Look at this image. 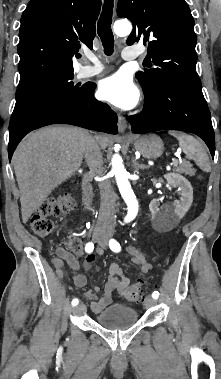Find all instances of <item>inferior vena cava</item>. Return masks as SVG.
<instances>
[{"mask_svg":"<svg viewBox=\"0 0 221 379\" xmlns=\"http://www.w3.org/2000/svg\"><path fill=\"white\" fill-rule=\"evenodd\" d=\"M86 163L93 176L104 173L103 157L100 146L95 138L90 137L85 150ZM101 204L97 221V229H106L112 231L115 227V202L116 194L113 191L110 182L99 184Z\"/></svg>","mask_w":221,"mask_h":379,"instance_id":"1","label":"inferior vena cava"}]
</instances>
